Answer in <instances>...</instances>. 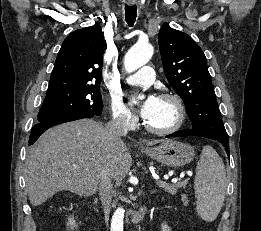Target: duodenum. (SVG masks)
Here are the masks:
<instances>
[{
  "instance_id": "obj_1",
  "label": "duodenum",
  "mask_w": 261,
  "mask_h": 231,
  "mask_svg": "<svg viewBox=\"0 0 261 231\" xmlns=\"http://www.w3.org/2000/svg\"><path fill=\"white\" fill-rule=\"evenodd\" d=\"M136 216H137V217H140V214H139V213H137V214H136Z\"/></svg>"
}]
</instances>
